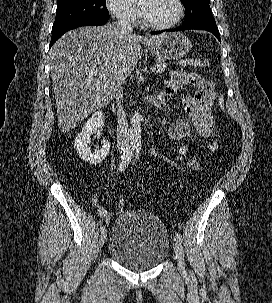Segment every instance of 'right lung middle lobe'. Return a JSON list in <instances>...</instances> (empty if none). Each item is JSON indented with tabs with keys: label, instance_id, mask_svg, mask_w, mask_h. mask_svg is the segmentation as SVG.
I'll return each mask as SVG.
<instances>
[{
	"label": "right lung middle lobe",
	"instance_id": "dd1d6c3e",
	"mask_svg": "<svg viewBox=\"0 0 272 303\" xmlns=\"http://www.w3.org/2000/svg\"><path fill=\"white\" fill-rule=\"evenodd\" d=\"M109 19L105 0H58L56 18L52 28L77 20Z\"/></svg>",
	"mask_w": 272,
	"mask_h": 303
}]
</instances>
